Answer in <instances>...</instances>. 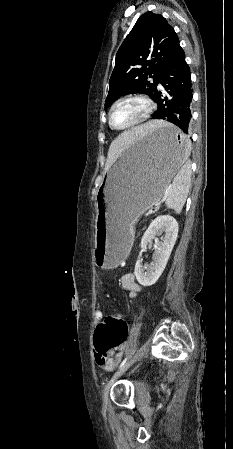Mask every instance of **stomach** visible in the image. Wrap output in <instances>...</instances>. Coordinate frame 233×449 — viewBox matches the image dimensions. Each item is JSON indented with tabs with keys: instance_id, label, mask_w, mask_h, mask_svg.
Returning a JSON list of instances; mask_svg holds the SVG:
<instances>
[{
	"instance_id": "obj_1",
	"label": "stomach",
	"mask_w": 233,
	"mask_h": 449,
	"mask_svg": "<svg viewBox=\"0 0 233 449\" xmlns=\"http://www.w3.org/2000/svg\"><path fill=\"white\" fill-rule=\"evenodd\" d=\"M187 137L169 123L146 133L115 163L98 194L95 254L98 267L115 268L134 239L140 216L158 203L187 159Z\"/></svg>"
}]
</instances>
